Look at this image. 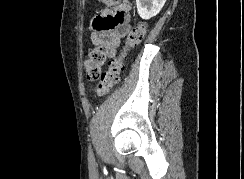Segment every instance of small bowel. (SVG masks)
<instances>
[{"label": "small bowel", "instance_id": "1", "mask_svg": "<svg viewBox=\"0 0 244 179\" xmlns=\"http://www.w3.org/2000/svg\"><path fill=\"white\" fill-rule=\"evenodd\" d=\"M124 18L123 12L119 10L100 11L91 21V42L94 45H107L110 48V56H114L120 39L129 30Z\"/></svg>", "mask_w": 244, "mask_h": 179}]
</instances>
